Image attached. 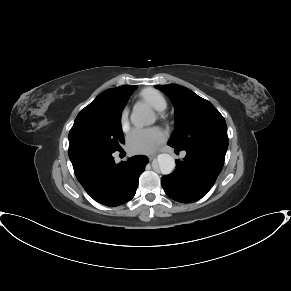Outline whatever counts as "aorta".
Returning a JSON list of instances; mask_svg holds the SVG:
<instances>
[{"instance_id":"obj_1","label":"aorta","mask_w":291,"mask_h":291,"mask_svg":"<svg viewBox=\"0 0 291 291\" xmlns=\"http://www.w3.org/2000/svg\"><path fill=\"white\" fill-rule=\"evenodd\" d=\"M130 120L135 126L142 127L153 124L156 118L149 106L143 103H137L133 107ZM157 165L162 174L168 175L175 168V160L169 154H159L157 157Z\"/></svg>"}]
</instances>
